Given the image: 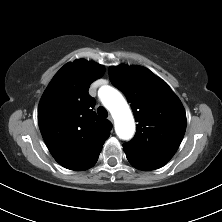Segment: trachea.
Instances as JSON below:
<instances>
[{
	"instance_id": "1",
	"label": "trachea",
	"mask_w": 222,
	"mask_h": 222,
	"mask_svg": "<svg viewBox=\"0 0 222 222\" xmlns=\"http://www.w3.org/2000/svg\"><path fill=\"white\" fill-rule=\"evenodd\" d=\"M97 113L102 118H106L108 116V112L104 107H99Z\"/></svg>"
}]
</instances>
